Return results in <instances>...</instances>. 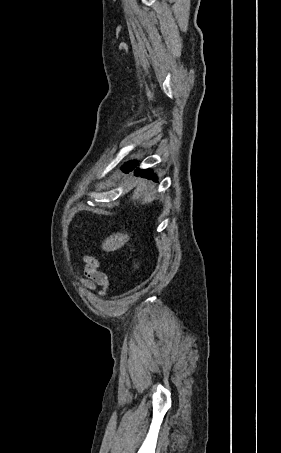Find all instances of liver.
Returning a JSON list of instances; mask_svg holds the SVG:
<instances>
[{
  "label": "liver",
  "mask_w": 281,
  "mask_h": 453,
  "mask_svg": "<svg viewBox=\"0 0 281 453\" xmlns=\"http://www.w3.org/2000/svg\"><path fill=\"white\" fill-rule=\"evenodd\" d=\"M146 184L147 182H145V180L139 182V186H136L132 196H130L131 200H140L141 194H144L145 190H147ZM129 239L130 237L127 233H113V235H110V237H107V239L103 241L102 249L103 251H107V253H110V251H117V249L124 247Z\"/></svg>",
  "instance_id": "1"
}]
</instances>
